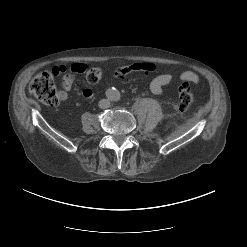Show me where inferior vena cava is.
<instances>
[{"mask_svg":"<svg viewBox=\"0 0 247 247\" xmlns=\"http://www.w3.org/2000/svg\"><path fill=\"white\" fill-rule=\"evenodd\" d=\"M99 108L105 109L110 106V101L108 99H101L98 103Z\"/></svg>","mask_w":247,"mask_h":247,"instance_id":"602c4592","label":"inferior vena cava"}]
</instances>
